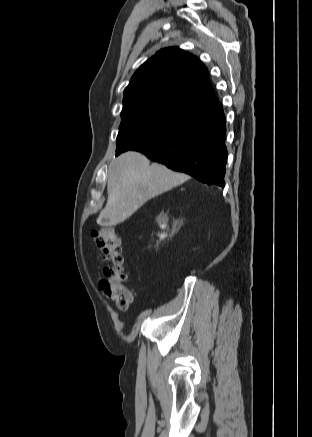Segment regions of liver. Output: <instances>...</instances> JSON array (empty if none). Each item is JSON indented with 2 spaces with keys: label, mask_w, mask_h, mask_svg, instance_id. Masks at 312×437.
<instances>
[{
  "label": "liver",
  "mask_w": 312,
  "mask_h": 437,
  "mask_svg": "<svg viewBox=\"0 0 312 437\" xmlns=\"http://www.w3.org/2000/svg\"><path fill=\"white\" fill-rule=\"evenodd\" d=\"M189 178L162 164H150L149 159L139 152H126L109 166L108 200L97 222L102 226L120 224L148 200L179 186Z\"/></svg>",
  "instance_id": "6515ba94"
}]
</instances>
